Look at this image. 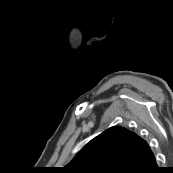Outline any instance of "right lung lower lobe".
<instances>
[{"instance_id": "right-lung-lower-lobe-1", "label": "right lung lower lobe", "mask_w": 173, "mask_h": 173, "mask_svg": "<svg viewBox=\"0 0 173 173\" xmlns=\"http://www.w3.org/2000/svg\"><path fill=\"white\" fill-rule=\"evenodd\" d=\"M124 173H160V170L152 153L132 164Z\"/></svg>"}]
</instances>
